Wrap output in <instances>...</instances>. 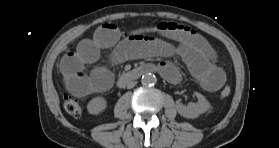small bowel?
Returning a JSON list of instances; mask_svg holds the SVG:
<instances>
[{"instance_id":"small-bowel-1","label":"small bowel","mask_w":279,"mask_h":148,"mask_svg":"<svg viewBox=\"0 0 279 148\" xmlns=\"http://www.w3.org/2000/svg\"><path fill=\"white\" fill-rule=\"evenodd\" d=\"M155 27L153 32L176 44L150 35L125 37L111 23L98 27L91 38L81 40L75 50L67 52L60 60L59 69L68 90L84 96L111 87L113 77L109 70L96 68L90 74L84 72L85 66L96 62L100 52L108 48H113L110 57L113 64L148 57L178 56L202 88L214 92L223 86L225 73L217 64L214 49L200 34L173 22H161ZM158 70L171 83H178L182 78L179 68L168 60L160 61Z\"/></svg>"}]
</instances>
